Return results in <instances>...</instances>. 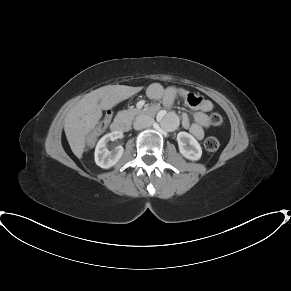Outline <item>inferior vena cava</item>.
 <instances>
[{"label":"inferior vena cava","mask_w":291,"mask_h":291,"mask_svg":"<svg viewBox=\"0 0 291 291\" xmlns=\"http://www.w3.org/2000/svg\"><path fill=\"white\" fill-rule=\"evenodd\" d=\"M153 123V119L147 115H140L136 117L133 122V126L135 130H141L149 127Z\"/></svg>","instance_id":"602c4592"}]
</instances>
